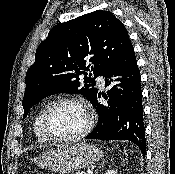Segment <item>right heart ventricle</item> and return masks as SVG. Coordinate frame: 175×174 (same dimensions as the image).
Returning a JSON list of instances; mask_svg holds the SVG:
<instances>
[{"mask_svg": "<svg viewBox=\"0 0 175 174\" xmlns=\"http://www.w3.org/2000/svg\"><path fill=\"white\" fill-rule=\"evenodd\" d=\"M46 108H47V105L43 106L37 112V114L34 118V122H33V132H34V135H35L37 141L40 142V143L50 142V140L45 136V134L42 130V126H41L42 116H43V113H44Z\"/></svg>", "mask_w": 175, "mask_h": 174, "instance_id": "e07e8e85", "label": "right heart ventricle"}]
</instances>
